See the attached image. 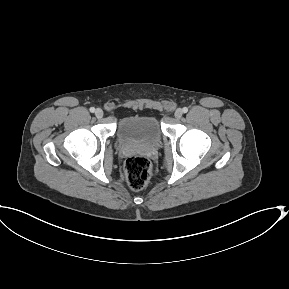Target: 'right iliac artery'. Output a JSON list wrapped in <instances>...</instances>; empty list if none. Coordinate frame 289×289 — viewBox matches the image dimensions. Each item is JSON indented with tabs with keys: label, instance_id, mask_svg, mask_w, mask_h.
<instances>
[{
	"label": "right iliac artery",
	"instance_id": "1",
	"mask_svg": "<svg viewBox=\"0 0 289 289\" xmlns=\"http://www.w3.org/2000/svg\"><path fill=\"white\" fill-rule=\"evenodd\" d=\"M90 112H91V113H94V112H95V108H94V107H91V108H90Z\"/></svg>",
	"mask_w": 289,
	"mask_h": 289
}]
</instances>
